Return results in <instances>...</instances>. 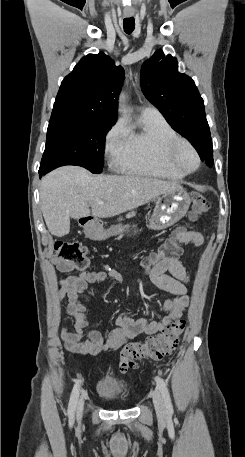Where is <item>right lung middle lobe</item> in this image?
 I'll return each instance as SVG.
<instances>
[{"label":"right lung middle lobe","mask_w":245,"mask_h":457,"mask_svg":"<svg viewBox=\"0 0 245 457\" xmlns=\"http://www.w3.org/2000/svg\"><path fill=\"white\" fill-rule=\"evenodd\" d=\"M116 119L77 113L52 114L40 176L62 165H80L101 173L105 135Z\"/></svg>","instance_id":"1"}]
</instances>
